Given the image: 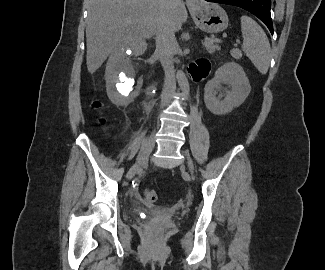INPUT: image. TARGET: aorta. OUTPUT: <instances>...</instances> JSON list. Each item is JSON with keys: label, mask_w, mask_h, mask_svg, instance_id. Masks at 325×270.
I'll use <instances>...</instances> for the list:
<instances>
[{"label": "aorta", "mask_w": 325, "mask_h": 270, "mask_svg": "<svg viewBox=\"0 0 325 270\" xmlns=\"http://www.w3.org/2000/svg\"><path fill=\"white\" fill-rule=\"evenodd\" d=\"M176 78L181 91L184 95L188 96L190 92V87L185 73L181 70L177 71Z\"/></svg>", "instance_id": "1"}]
</instances>
